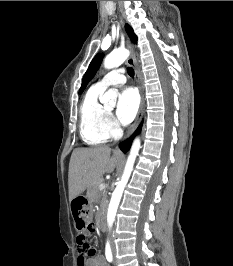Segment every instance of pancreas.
I'll list each match as a JSON object with an SVG mask.
<instances>
[{
  "label": "pancreas",
  "mask_w": 233,
  "mask_h": 266,
  "mask_svg": "<svg viewBox=\"0 0 233 266\" xmlns=\"http://www.w3.org/2000/svg\"><path fill=\"white\" fill-rule=\"evenodd\" d=\"M100 182L101 180H99L96 184H94L92 187L88 188L87 190L88 198L95 203H99L101 198H102L101 202L104 203L106 198L105 194L99 189Z\"/></svg>",
  "instance_id": "pancreas-1"
}]
</instances>
